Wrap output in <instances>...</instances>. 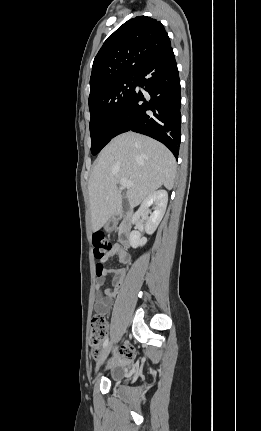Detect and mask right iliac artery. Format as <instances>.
<instances>
[{
    "label": "right iliac artery",
    "instance_id": "82829eb1",
    "mask_svg": "<svg viewBox=\"0 0 261 431\" xmlns=\"http://www.w3.org/2000/svg\"><path fill=\"white\" fill-rule=\"evenodd\" d=\"M108 337L105 339L104 343H103V348H105L108 345Z\"/></svg>",
    "mask_w": 261,
    "mask_h": 431
}]
</instances>
